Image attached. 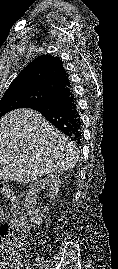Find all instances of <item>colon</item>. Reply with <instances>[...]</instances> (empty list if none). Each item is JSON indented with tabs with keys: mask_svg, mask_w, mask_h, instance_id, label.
<instances>
[{
	"mask_svg": "<svg viewBox=\"0 0 118 269\" xmlns=\"http://www.w3.org/2000/svg\"><path fill=\"white\" fill-rule=\"evenodd\" d=\"M11 197L12 206L9 219L1 226L0 269H18V253L15 248L22 245L27 236L24 208L10 190H5L0 181V193Z\"/></svg>",
	"mask_w": 118,
	"mask_h": 269,
	"instance_id": "1",
	"label": "colon"
}]
</instances>
